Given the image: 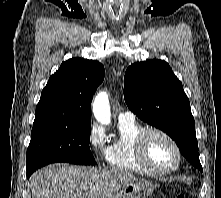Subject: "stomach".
I'll return each instance as SVG.
<instances>
[{
	"label": "stomach",
	"instance_id": "stomach-1",
	"mask_svg": "<svg viewBox=\"0 0 221 198\" xmlns=\"http://www.w3.org/2000/svg\"><path fill=\"white\" fill-rule=\"evenodd\" d=\"M154 185L143 179H133L123 183L106 198H148L153 193Z\"/></svg>",
	"mask_w": 221,
	"mask_h": 198
}]
</instances>
